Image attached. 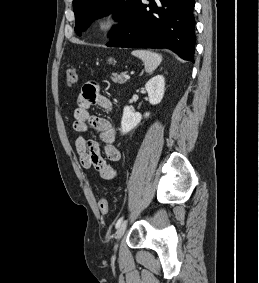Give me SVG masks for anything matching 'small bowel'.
<instances>
[{
    "instance_id": "obj_1",
    "label": "small bowel",
    "mask_w": 259,
    "mask_h": 283,
    "mask_svg": "<svg viewBox=\"0 0 259 283\" xmlns=\"http://www.w3.org/2000/svg\"><path fill=\"white\" fill-rule=\"evenodd\" d=\"M93 105H98L106 111L112 108L110 98L100 93L94 82H88L82 87L74 110L72 127L76 133V155L83 168H93L102 179L113 180L117 171L107 160L117 162L121 159V152L116 146V132L108 119L90 114L89 109ZM90 127L99 133L102 147L96 140L85 137ZM101 149L106 159L102 156Z\"/></svg>"
}]
</instances>
